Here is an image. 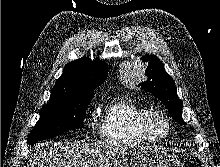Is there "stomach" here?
Segmentation results:
<instances>
[{
  "instance_id": "obj_1",
  "label": "stomach",
  "mask_w": 220,
  "mask_h": 167,
  "mask_svg": "<svg viewBox=\"0 0 220 167\" xmlns=\"http://www.w3.org/2000/svg\"><path fill=\"white\" fill-rule=\"evenodd\" d=\"M114 167H182L179 160L157 147L128 146Z\"/></svg>"
}]
</instances>
